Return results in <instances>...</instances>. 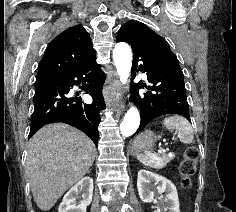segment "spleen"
<instances>
[{
	"label": "spleen",
	"mask_w": 236,
	"mask_h": 212,
	"mask_svg": "<svg viewBox=\"0 0 236 212\" xmlns=\"http://www.w3.org/2000/svg\"><path fill=\"white\" fill-rule=\"evenodd\" d=\"M162 124L169 130L175 131L182 143L189 144L193 142L194 133L190 122L181 116H171L163 120ZM137 159L144 165L152 166L154 168H162L163 162L157 155L147 152L138 154Z\"/></svg>",
	"instance_id": "spleen-1"
}]
</instances>
